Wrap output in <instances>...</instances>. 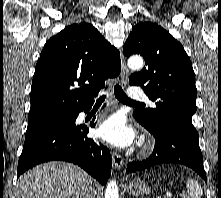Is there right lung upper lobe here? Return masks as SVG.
<instances>
[{"instance_id":"right-lung-upper-lobe-1","label":"right lung upper lobe","mask_w":221,"mask_h":198,"mask_svg":"<svg viewBox=\"0 0 221 198\" xmlns=\"http://www.w3.org/2000/svg\"><path fill=\"white\" fill-rule=\"evenodd\" d=\"M120 71L118 50L94 26L66 27L46 42L36 64L28 122L81 112Z\"/></svg>"}]
</instances>
